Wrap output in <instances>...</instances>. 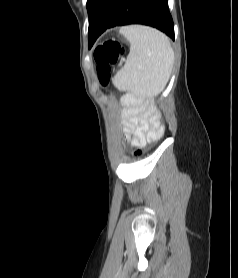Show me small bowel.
I'll return each instance as SVG.
<instances>
[{"mask_svg": "<svg viewBox=\"0 0 238 278\" xmlns=\"http://www.w3.org/2000/svg\"><path fill=\"white\" fill-rule=\"evenodd\" d=\"M124 102L126 135L134 146H144L159 135L158 122L149 109V96L144 91H136Z\"/></svg>", "mask_w": 238, "mask_h": 278, "instance_id": "c3829d8e", "label": "small bowel"}]
</instances>
